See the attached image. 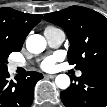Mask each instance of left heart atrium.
I'll return each mask as SVG.
<instances>
[{
	"mask_svg": "<svg viewBox=\"0 0 107 107\" xmlns=\"http://www.w3.org/2000/svg\"><path fill=\"white\" fill-rule=\"evenodd\" d=\"M58 60H59L58 55H52V56L46 57L40 62V67L46 71L53 70Z\"/></svg>",
	"mask_w": 107,
	"mask_h": 107,
	"instance_id": "left-heart-atrium-1",
	"label": "left heart atrium"
}]
</instances>
